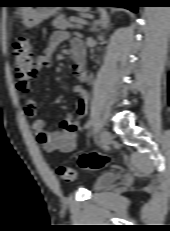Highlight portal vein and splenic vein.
Masks as SVG:
<instances>
[{
	"instance_id": "obj_1",
	"label": "portal vein and splenic vein",
	"mask_w": 170,
	"mask_h": 231,
	"mask_svg": "<svg viewBox=\"0 0 170 231\" xmlns=\"http://www.w3.org/2000/svg\"><path fill=\"white\" fill-rule=\"evenodd\" d=\"M71 21H73V22H76V23H78V24H87V22L86 21H83V20H80V19H77V18H71Z\"/></svg>"
}]
</instances>
